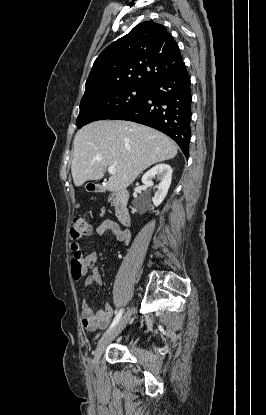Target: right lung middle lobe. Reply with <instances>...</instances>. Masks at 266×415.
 Listing matches in <instances>:
<instances>
[{
    "instance_id": "dd1d6c3e",
    "label": "right lung middle lobe",
    "mask_w": 266,
    "mask_h": 415,
    "mask_svg": "<svg viewBox=\"0 0 266 415\" xmlns=\"http://www.w3.org/2000/svg\"><path fill=\"white\" fill-rule=\"evenodd\" d=\"M148 88L122 86L82 98L76 125L78 128L97 120L110 119L140 102Z\"/></svg>"
}]
</instances>
